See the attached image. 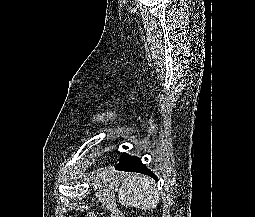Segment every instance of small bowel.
<instances>
[{"label": "small bowel", "mask_w": 255, "mask_h": 217, "mask_svg": "<svg viewBox=\"0 0 255 217\" xmlns=\"http://www.w3.org/2000/svg\"><path fill=\"white\" fill-rule=\"evenodd\" d=\"M116 216H119V214H116ZM86 217H91V215H87Z\"/></svg>", "instance_id": "1"}]
</instances>
